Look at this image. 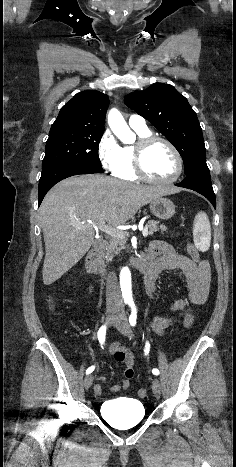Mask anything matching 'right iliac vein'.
I'll list each match as a JSON object with an SVG mask.
<instances>
[{
  "label": "right iliac vein",
  "instance_id": "63e3f726",
  "mask_svg": "<svg viewBox=\"0 0 236 467\" xmlns=\"http://www.w3.org/2000/svg\"><path fill=\"white\" fill-rule=\"evenodd\" d=\"M116 317H117L116 312H114V311L108 312L107 315H106V322L108 324H112L115 321ZM93 379H94V377H93L92 374H89V375H87L85 377L84 387H85L86 390H88L92 386Z\"/></svg>",
  "mask_w": 236,
  "mask_h": 467
}]
</instances>
